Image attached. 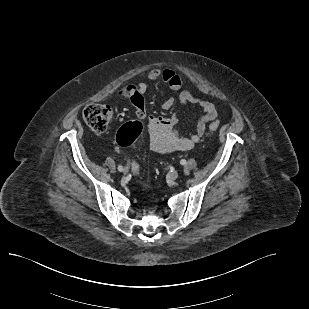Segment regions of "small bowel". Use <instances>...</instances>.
Masks as SVG:
<instances>
[{"label": "small bowel", "mask_w": 309, "mask_h": 309, "mask_svg": "<svg viewBox=\"0 0 309 309\" xmlns=\"http://www.w3.org/2000/svg\"><path fill=\"white\" fill-rule=\"evenodd\" d=\"M159 80L166 83L174 91H180L183 87L182 77L173 69L153 68L142 81L123 85L118 90L117 96L129 99L136 109L137 118L148 122L152 150L158 153L189 150L203 137L207 124L217 119L216 107L209 101L200 100L189 91H180L178 101L181 105L194 104L203 112V116L196 124L195 131L188 135L182 134L178 128L179 117L177 114L169 117L148 116L146 112L144 93ZM174 102V98H167L162 104L163 109H171Z\"/></svg>", "instance_id": "c3829d8e"}]
</instances>
